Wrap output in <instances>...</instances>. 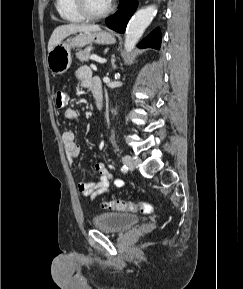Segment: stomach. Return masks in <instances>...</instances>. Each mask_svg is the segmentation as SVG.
Wrapping results in <instances>:
<instances>
[{
    "instance_id": "0dacf381",
    "label": "stomach",
    "mask_w": 243,
    "mask_h": 289,
    "mask_svg": "<svg viewBox=\"0 0 243 289\" xmlns=\"http://www.w3.org/2000/svg\"><path fill=\"white\" fill-rule=\"evenodd\" d=\"M113 44L116 42L114 35L106 31L80 32L61 41L55 45L48 53L47 65L53 74L61 75L65 73L71 65V49L80 48L91 43Z\"/></svg>"
}]
</instances>
